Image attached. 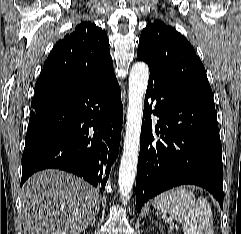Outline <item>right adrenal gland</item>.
I'll return each mask as SVG.
<instances>
[{"label": "right adrenal gland", "instance_id": "right-adrenal-gland-1", "mask_svg": "<svg viewBox=\"0 0 241 234\" xmlns=\"http://www.w3.org/2000/svg\"><path fill=\"white\" fill-rule=\"evenodd\" d=\"M95 220H96V219L94 218L93 222L91 223V225H92V226L94 225V223H95Z\"/></svg>", "mask_w": 241, "mask_h": 234}]
</instances>
